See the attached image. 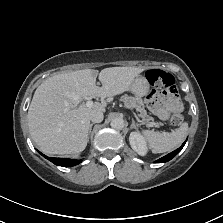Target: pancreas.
<instances>
[{"instance_id":"pancreas-1","label":"pancreas","mask_w":223,"mask_h":223,"mask_svg":"<svg viewBox=\"0 0 223 223\" xmlns=\"http://www.w3.org/2000/svg\"><path fill=\"white\" fill-rule=\"evenodd\" d=\"M120 101L124 103L126 107L135 108L137 111L140 112V117L146 121H153V117L147 115V112L144 108L143 102L139 101L135 97L128 96L127 94L121 96Z\"/></svg>"}]
</instances>
